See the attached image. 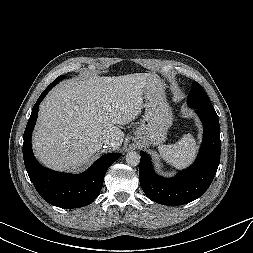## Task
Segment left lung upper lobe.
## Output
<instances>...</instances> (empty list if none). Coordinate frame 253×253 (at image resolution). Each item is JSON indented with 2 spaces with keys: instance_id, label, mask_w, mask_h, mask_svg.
<instances>
[{
  "instance_id": "left-lung-upper-lobe-1",
  "label": "left lung upper lobe",
  "mask_w": 253,
  "mask_h": 253,
  "mask_svg": "<svg viewBox=\"0 0 253 253\" xmlns=\"http://www.w3.org/2000/svg\"><path fill=\"white\" fill-rule=\"evenodd\" d=\"M187 103L193 108L214 110V107L212 106L206 92L196 81L192 83L191 91L187 98Z\"/></svg>"
}]
</instances>
